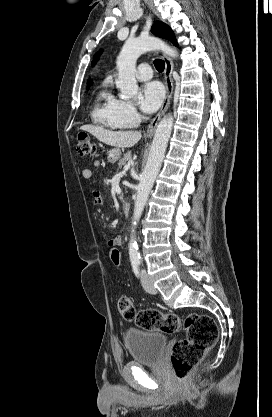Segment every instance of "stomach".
<instances>
[{"mask_svg": "<svg viewBox=\"0 0 272 417\" xmlns=\"http://www.w3.org/2000/svg\"><path fill=\"white\" fill-rule=\"evenodd\" d=\"M121 156V149L119 147L112 148L107 151V160L110 163H115Z\"/></svg>", "mask_w": 272, "mask_h": 417, "instance_id": "stomach-1", "label": "stomach"}]
</instances>
